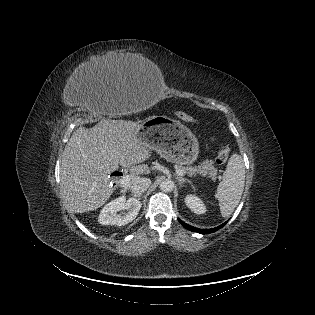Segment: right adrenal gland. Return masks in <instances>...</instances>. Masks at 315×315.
Instances as JSON below:
<instances>
[{"mask_svg": "<svg viewBox=\"0 0 315 315\" xmlns=\"http://www.w3.org/2000/svg\"><path fill=\"white\" fill-rule=\"evenodd\" d=\"M133 197L140 199L142 194H132Z\"/></svg>", "mask_w": 315, "mask_h": 315, "instance_id": "2a0ac1e0", "label": "right adrenal gland"}]
</instances>
